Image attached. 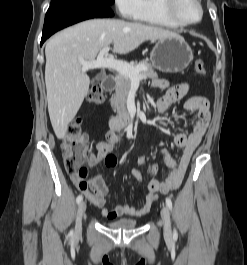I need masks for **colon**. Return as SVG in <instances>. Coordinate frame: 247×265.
Returning <instances> with one entry per match:
<instances>
[{
  "label": "colon",
  "instance_id": "5ec220e1",
  "mask_svg": "<svg viewBox=\"0 0 247 265\" xmlns=\"http://www.w3.org/2000/svg\"><path fill=\"white\" fill-rule=\"evenodd\" d=\"M194 70L198 75H205L206 69L201 60H196ZM92 104H101L104 100L103 90L100 86H94L87 97ZM88 135L81 128V121L74 120L68 127L62 140V152L66 171L71 175L85 177L87 169L84 163L88 157Z\"/></svg>",
  "mask_w": 247,
  "mask_h": 265
}]
</instances>
